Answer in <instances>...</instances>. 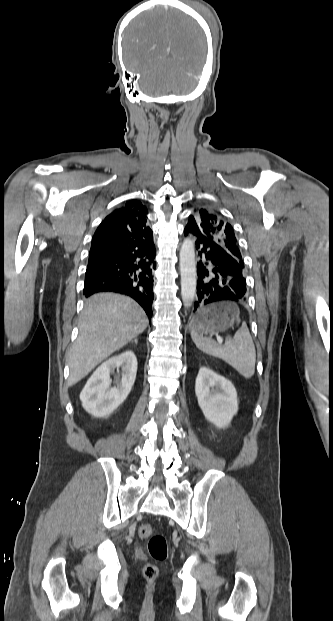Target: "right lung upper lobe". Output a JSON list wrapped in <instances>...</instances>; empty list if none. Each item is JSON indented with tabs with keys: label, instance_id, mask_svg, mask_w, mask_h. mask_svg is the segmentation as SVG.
<instances>
[{
	"label": "right lung upper lobe",
	"instance_id": "1",
	"mask_svg": "<svg viewBox=\"0 0 333 621\" xmlns=\"http://www.w3.org/2000/svg\"><path fill=\"white\" fill-rule=\"evenodd\" d=\"M147 213V208L138 200H130L114 210L95 231L90 252L141 251L153 245V233L146 223Z\"/></svg>",
	"mask_w": 333,
	"mask_h": 621
}]
</instances>
